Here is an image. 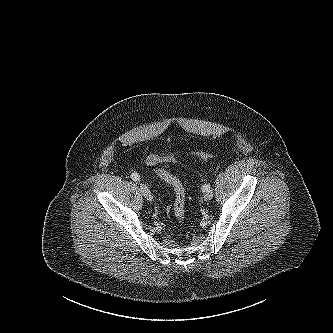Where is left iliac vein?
I'll return each mask as SVG.
<instances>
[{"mask_svg": "<svg viewBox=\"0 0 333 333\" xmlns=\"http://www.w3.org/2000/svg\"><path fill=\"white\" fill-rule=\"evenodd\" d=\"M212 197H213V191H212L211 189L208 190V191H205V193H204V199H205L206 201L211 200Z\"/></svg>", "mask_w": 333, "mask_h": 333, "instance_id": "left-iliac-vein-1", "label": "left iliac vein"}]
</instances>
